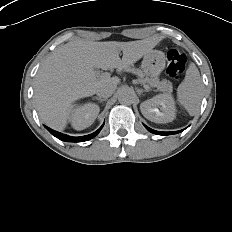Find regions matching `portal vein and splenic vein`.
Segmentation results:
<instances>
[{
    "label": "portal vein and splenic vein",
    "instance_id": "18ae733b",
    "mask_svg": "<svg viewBox=\"0 0 232 232\" xmlns=\"http://www.w3.org/2000/svg\"><path fill=\"white\" fill-rule=\"evenodd\" d=\"M101 77H102V78H107V77H110V75H109V73H103V74L101 75Z\"/></svg>",
    "mask_w": 232,
    "mask_h": 232
}]
</instances>
